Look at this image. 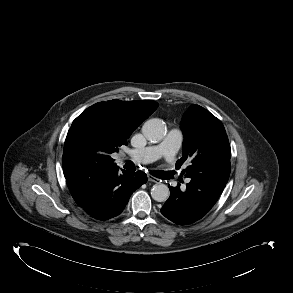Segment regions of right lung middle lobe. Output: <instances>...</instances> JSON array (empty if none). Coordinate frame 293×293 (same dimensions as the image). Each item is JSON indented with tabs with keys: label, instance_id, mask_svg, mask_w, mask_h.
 Listing matches in <instances>:
<instances>
[{
	"label": "right lung middle lobe",
	"instance_id": "dd1d6c3e",
	"mask_svg": "<svg viewBox=\"0 0 293 293\" xmlns=\"http://www.w3.org/2000/svg\"><path fill=\"white\" fill-rule=\"evenodd\" d=\"M79 163L83 169H90L98 164H102V161L96 154L84 153L79 156Z\"/></svg>",
	"mask_w": 293,
	"mask_h": 293
}]
</instances>
